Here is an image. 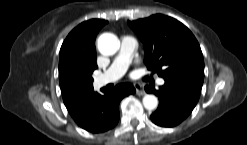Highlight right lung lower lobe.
Returning a JSON list of instances; mask_svg holds the SVG:
<instances>
[{
    "instance_id": "98d812e1",
    "label": "right lung lower lobe",
    "mask_w": 247,
    "mask_h": 145,
    "mask_svg": "<svg viewBox=\"0 0 247 145\" xmlns=\"http://www.w3.org/2000/svg\"><path fill=\"white\" fill-rule=\"evenodd\" d=\"M136 92L130 83L119 84L104 95L93 89L65 103L74 121L83 129L99 133L113 128L119 121L120 101Z\"/></svg>"
}]
</instances>
